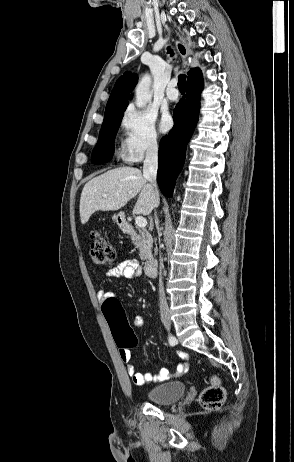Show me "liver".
Returning a JSON list of instances; mask_svg holds the SVG:
<instances>
[{
  "label": "liver",
  "mask_w": 294,
  "mask_h": 462,
  "mask_svg": "<svg viewBox=\"0 0 294 462\" xmlns=\"http://www.w3.org/2000/svg\"><path fill=\"white\" fill-rule=\"evenodd\" d=\"M137 194L139 196L133 213L149 215L156 207L152 187L137 168L112 169L91 179L81 193L79 206L81 223H87L96 211L119 210Z\"/></svg>",
  "instance_id": "liver-1"
}]
</instances>
